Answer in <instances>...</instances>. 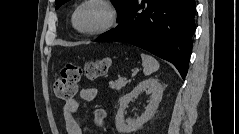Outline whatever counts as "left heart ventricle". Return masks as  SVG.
Segmentation results:
<instances>
[{
	"label": "left heart ventricle",
	"instance_id": "1",
	"mask_svg": "<svg viewBox=\"0 0 239 134\" xmlns=\"http://www.w3.org/2000/svg\"><path fill=\"white\" fill-rule=\"evenodd\" d=\"M106 20V12L97 5L84 7L77 16V25L83 30H93L100 27Z\"/></svg>",
	"mask_w": 239,
	"mask_h": 134
}]
</instances>
